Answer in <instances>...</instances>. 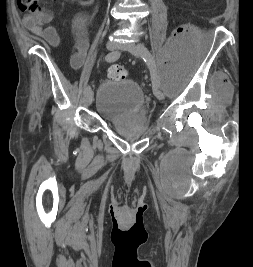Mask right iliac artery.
Masks as SVG:
<instances>
[{"label":"right iliac artery","mask_w":253,"mask_h":267,"mask_svg":"<svg viewBox=\"0 0 253 267\" xmlns=\"http://www.w3.org/2000/svg\"><path fill=\"white\" fill-rule=\"evenodd\" d=\"M119 57H120V52L114 51V52H110L109 54H107L105 57V60L107 62H114V61L118 60ZM90 90H91V88L89 86L84 87L85 94L87 92H89Z\"/></svg>","instance_id":"1"}]
</instances>
